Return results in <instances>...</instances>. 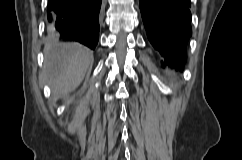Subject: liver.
<instances>
[{"label":"liver","mask_w":242,"mask_h":160,"mask_svg":"<svg viewBox=\"0 0 242 160\" xmlns=\"http://www.w3.org/2000/svg\"><path fill=\"white\" fill-rule=\"evenodd\" d=\"M44 76L57 96L74 91L84 79L93 53L78 43L45 44Z\"/></svg>","instance_id":"6515ba94"}]
</instances>
